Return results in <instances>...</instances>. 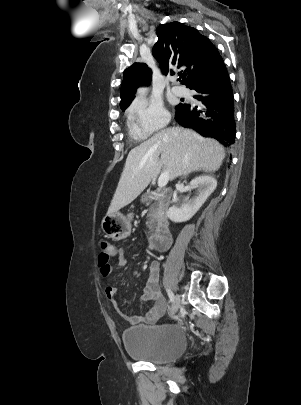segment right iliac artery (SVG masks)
<instances>
[{
	"label": "right iliac artery",
	"instance_id": "1",
	"mask_svg": "<svg viewBox=\"0 0 301 405\" xmlns=\"http://www.w3.org/2000/svg\"><path fill=\"white\" fill-rule=\"evenodd\" d=\"M167 294L169 296L170 302H174L175 297H174L173 292L171 290L167 289Z\"/></svg>",
	"mask_w": 301,
	"mask_h": 405
}]
</instances>
